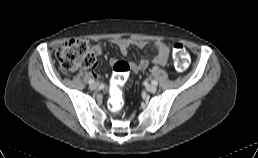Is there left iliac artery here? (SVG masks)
<instances>
[{
    "instance_id": "44dca946",
    "label": "left iliac artery",
    "mask_w": 258,
    "mask_h": 158,
    "mask_svg": "<svg viewBox=\"0 0 258 158\" xmlns=\"http://www.w3.org/2000/svg\"><path fill=\"white\" fill-rule=\"evenodd\" d=\"M152 84L157 85V84H158V82H157V81H155V80H152Z\"/></svg>"
}]
</instances>
